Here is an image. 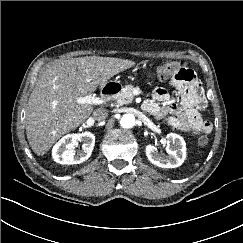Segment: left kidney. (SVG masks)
Here are the masks:
<instances>
[{"mask_svg": "<svg viewBox=\"0 0 243 243\" xmlns=\"http://www.w3.org/2000/svg\"><path fill=\"white\" fill-rule=\"evenodd\" d=\"M167 156L160 155L157 148L151 144L145 148L148 160L160 168H176L182 165L186 158V143L178 134L169 133L167 136Z\"/></svg>", "mask_w": 243, "mask_h": 243, "instance_id": "1", "label": "left kidney"}]
</instances>
